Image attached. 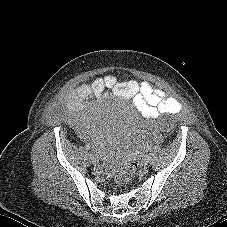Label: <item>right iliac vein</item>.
Listing matches in <instances>:
<instances>
[{
    "label": "right iliac vein",
    "mask_w": 227,
    "mask_h": 227,
    "mask_svg": "<svg viewBox=\"0 0 227 227\" xmlns=\"http://www.w3.org/2000/svg\"><path fill=\"white\" fill-rule=\"evenodd\" d=\"M90 159H91L93 164L96 165L98 163V159L93 154L90 155Z\"/></svg>",
    "instance_id": "obj_1"
}]
</instances>
